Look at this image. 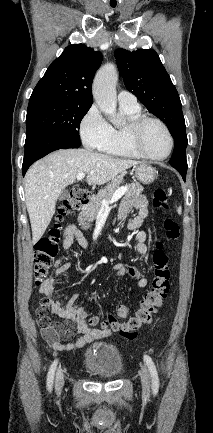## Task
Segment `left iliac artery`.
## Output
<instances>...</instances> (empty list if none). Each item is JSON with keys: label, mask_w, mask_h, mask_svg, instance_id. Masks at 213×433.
I'll return each mask as SVG.
<instances>
[{"label": "left iliac artery", "mask_w": 213, "mask_h": 433, "mask_svg": "<svg viewBox=\"0 0 213 433\" xmlns=\"http://www.w3.org/2000/svg\"><path fill=\"white\" fill-rule=\"evenodd\" d=\"M144 360H145V362L148 366V369L150 371L153 394L156 395L158 392V389H159V378H158V373H157L155 364H154L152 358L148 355H144Z\"/></svg>", "instance_id": "44dca946"}]
</instances>
